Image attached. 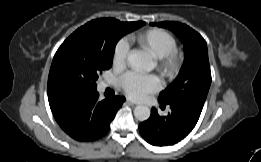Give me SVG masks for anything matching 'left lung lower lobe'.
<instances>
[{
	"mask_svg": "<svg viewBox=\"0 0 261 162\" xmlns=\"http://www.w3.org/2000/svg\"><path fill=\"white\" fill-rule=\"evenodd\" d=\"M169 106L171 112L164 117L152 108L150 118L139 125L141 136L154 146L173 145L186 137L195 127L203 108L186 99Z\"/></svg>",
	"mask_w": 261,
	"mask_h": 162,
	"instance_id": "obj_1",
	"label": "left lung lower lobe"
}]
</instances>
